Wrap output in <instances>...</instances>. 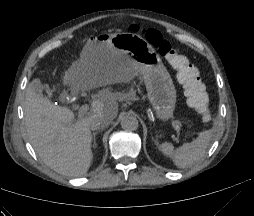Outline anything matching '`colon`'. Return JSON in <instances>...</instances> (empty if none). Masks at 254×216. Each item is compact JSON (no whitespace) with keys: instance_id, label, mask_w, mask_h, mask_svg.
<instances>
[{"instance_id":"5ec220e1","label":"colon","mask_w":254,"mask_h":216,"mask_svg":"<svg viewBox=\"0 0 254 216\" xmlns=\"http://www.w3.org/2000/svg\"><path fill=\"white\" fill-rule=\"evenodd\" d=\"M134 31H139L134 27ZM146 40L156 47L168 60L170 66L176 70L177 78L185 89L189 105L197 112L203 122L211 120L209 99L200 82L197 70L189 64L188 59L182 55L163 34L153 28L142 30Z\"/></svg>"}]
</instances>
